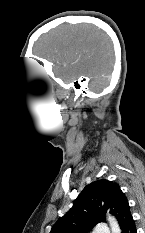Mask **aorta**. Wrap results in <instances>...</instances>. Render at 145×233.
Instances as JSON below:
<instances>
[{
	"mask_svg": "<svg viewBox=\"0 0 145 233\" xmlns=\"http://www.w3.org/2000/svg\"><path fill=\"white\" fill-rule=\"evenodd\" d=\"M110 228H111V232L112 233H121L120 227L118 222L116 221L115 217L108 215L107 217Z\"/></svg>",
	"mask_w": 145,
	"mask_h": 233,
	"instance_id": "1",
	"label": "aorta"
}]
</instances>
